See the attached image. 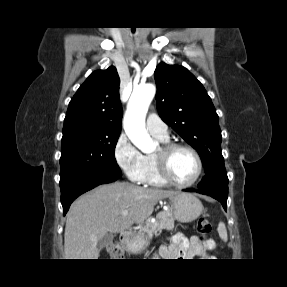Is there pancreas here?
<instances>
[{
    "mask_svg": "<svg viewBox=\"0 0 287 287\" xmlns=\"http://www.w3.org/2000/svg\"><path fill=\"white\" fill-rule=\"evenodd\" d=\"M157 221L151 222L149 218L144 227L140 230V235H146V238H152L153 234L161 232L163 229L173 230L174 228V217L170 209L160 211L156 216Z\"/></svg>",
    "mask_w": 287,
    "mask_h": 287,
    "instance_id": "1",
    "label": "pancreas"
}]
</instances>
